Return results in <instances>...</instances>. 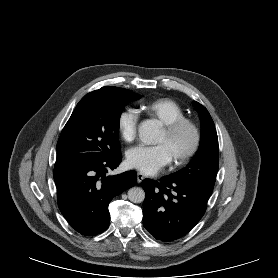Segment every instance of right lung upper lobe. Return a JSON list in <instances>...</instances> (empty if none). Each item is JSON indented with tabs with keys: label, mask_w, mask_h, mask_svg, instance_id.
Returning a JSON list of instances; mask_svg holds the SVG:
<instances>
[{
	"label": "right lung upper lobe",
	"mask_w": 278,
	"mask_h": 278,
	"mask_svg": "<svg viewBox=\"0 0 278 278\" xmlns=\"http://www.w3.org/2000/svg\"><path fill=\"white\" fill-rule=\"evenodd\" d=\"M99 91H106V92H126V91H129V90L123 89V88L105 86V87H102L101 89H99Z\"/></svg>",
	"instance_id": "obj_1"
}]
</instances>
